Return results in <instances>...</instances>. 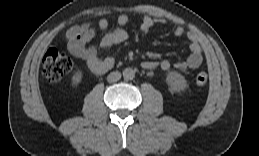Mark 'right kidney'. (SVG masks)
I'll return each mask as SVG.
<instances>
[{
  "instance_id": "ca27d5eb",
  "label": "right kidney",
  "mask_w": 259,
  "mask_h": 156,
  "mask_svg": "<svg viewBox=\"0 0 259 156\" xmlns=\"http://www.w3.org/2000/svg\"><path fill=\"white\" fill-rule=\"evenodd\" d=\"M82 77H83V74H82L81 71L76 72V73L72 76L71 85H72L73 87L77 86V85L81 82Z\"/></svg>"
}]
</instances>
